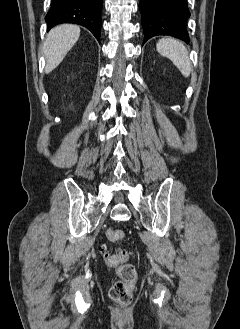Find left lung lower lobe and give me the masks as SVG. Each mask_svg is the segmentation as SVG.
<instances>
[{"label":"left lung lower lobe","mask_w":240,"mask_h":329,"mask_svg":"<svg viewBox=\"0 0 240 329\" xmlns=\"http://www.w3.org/2000/svg\"><path fill=\"white\" fill-rule=\"evenodd\" d=\"M144 42L156 35H169L189 42L187 0H140Z\"/></svg>","instance_id":"1"}]
</instances>
